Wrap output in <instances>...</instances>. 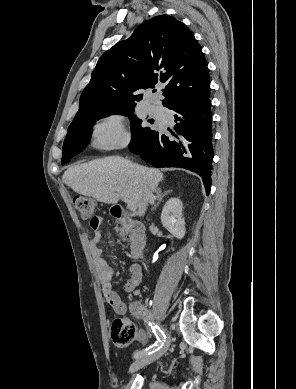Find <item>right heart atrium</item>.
I'll return each instance as SVG.
<instances>
[{"label": "right heart atrium", "mask_w": 296, "mask_h": 389, "mask_svg": "<svg viewBox=\"0 0 296 389\" xmlns=\"http://www.w3.org/2000/svg\"><path fill=\"white\" fill-rule=\"evenodd\" d=\"M129 135L121 114L110 113L97 121L92 129V143L103 149L122 147L127 144Z\"/></svg>", "instance_id": "obj_1"}]
</instances>
